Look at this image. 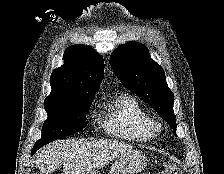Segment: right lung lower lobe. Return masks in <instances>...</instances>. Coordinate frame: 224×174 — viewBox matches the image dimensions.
Segmentation results:
<instances>
[{
  "mask_svg": "<svg viewBox=\"0 0 224 174\" xmlns=\"http://www.w3.org/2000/svg\"><path fill=\"white\" fill-rule=\"evenodd\" d=\"M38 149H35V148H33L32 149V154L35 152V151H37Z\"/></svg>",
  "mask_w": 224,
  "mask_h": 174,
  "instance_id": "right-lung-lower-lobe-1",
  "label": "right lung lower lobe"
}]
</instances>
